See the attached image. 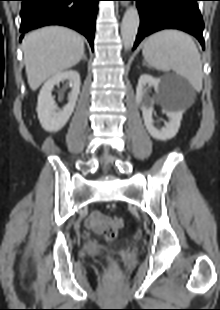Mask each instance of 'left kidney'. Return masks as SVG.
Segmentation results:
<instances>
[{"label":"left kidney","instance_id":"5707ae66","mask_svg":"<svg viewBox=\"0 0 220 310\" xmlns=\"http://www.w3.org/2000/svg\"><path fill=\"white\" fill-rule=\"evenodd\" d=\"M154 87L156 96L151 99L147 95L146 87ZM171 85L161 79L154 78L150 75L143 74L140 76L138 86L136 88V100L141 107L144 124L150 135L157 139L166 141L172 139L177 134L182 120V109H173L166 104V98L170 93ZM157 101L165 105L166 114L171 119L170 122L165 123V126L158 129L154 126L152 114L153 103Z\"/></svg>","mask_w":220,"mask_h":310}]
</instances>
